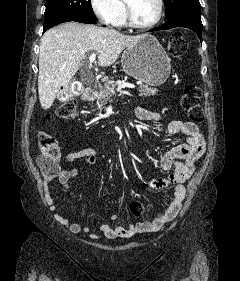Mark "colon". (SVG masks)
Wrapping results in <instances>:
<instances>
[{
  "label": "colon",
  "mask_w": 240,
  "mask_h": 281,
  "mask_svg": "<svg viewBox=\"0 0 240 281\" xmlns=\"http://www.w3.org/2000/svg\"><path fill=\"white\" fill-rule=\"evenodd\" d=\"M187 48L186 41L181 33H174L168 42V51L172 56H181ZM201 90L196 85H187L181 97V106L187 112L188 117L194 123H203L205 120L204 110L200 104ZM57 117L71 120L76 115V103L72 99L63 101L55 111ZM38 147L40 156L38 165L44 175H53L58 169L60 147L54 136L46 131L38 133ZM131 213L140 217L145 211L144 204L139 200L131 201L129 205Z\"/></svg>",
  "instance_id": "5ec220e1"
}]
</instances>
